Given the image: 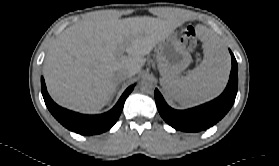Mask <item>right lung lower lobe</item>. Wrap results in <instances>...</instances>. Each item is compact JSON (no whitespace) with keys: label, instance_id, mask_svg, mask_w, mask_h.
<instances>
[{"label":"right lung lower lobe","instance_id":"right-lung-lower-lobe-1","mask_svg":"<svg viewBox=\"0 0 279 166\" xmlns=\"http://www.w3.org/2000/svg\"><path fill=\"white\" fill-rule=\"evenodd\" d=\"M134 85L123 93L117 104L108 112L100 115H83L58 106L50 98L44 78H41V90L45 104L51 114L66 128L81 135L99 134L109 130L118 120L127 96Z\"/></svg>","mask_w":279,"mask_h":166}]
</instances>
